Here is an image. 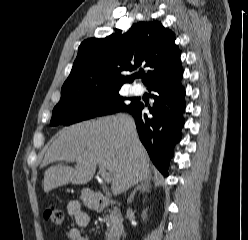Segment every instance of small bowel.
I'll list each match as a JSON object with an SVG mask.
<instances>
[{"label":"small bowel","instance_id":"small-bowel-1","mask_svg":"<svg viewBox=\"0 0 248 240\" xmlns=\"http://www.w3.org/2000/svg\"><path fill=\"white\" fill-rule=\"evenodd\" d=\"M67 211L78 227H85L88 225L89 216L83 210L82 205L79 201H70L67 205ZM66 236L68 240H88L82 235L81 230L77 227L68 229Z\"/></svg>","mask_w":248,"mask_h":240}]
</instances>
